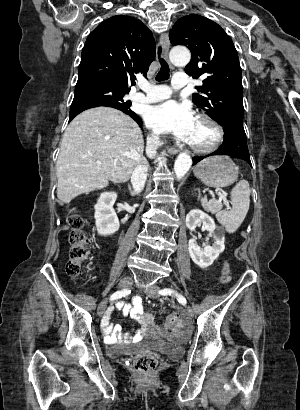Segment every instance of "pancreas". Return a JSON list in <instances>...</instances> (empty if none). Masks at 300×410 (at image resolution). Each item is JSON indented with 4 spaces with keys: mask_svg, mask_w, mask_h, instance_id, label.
<instances>
[{
    "mask_svg": "<svg viewBox=\"0 0 300 410\" xmlns=\"http://www.w3.org/2000/svg\"><path fill=\"white\" fill-rule=\"evenodd\" d=\"M202 206L205 210H209V203L207 202L205 198L202 199Z\"/></svg>",
    "mask_w": 300,
    "mask_h": 410,
    "instance_id": "obj_1",
    "label": "pancreas"
}]
</instances>
